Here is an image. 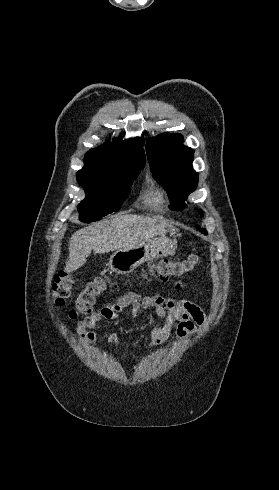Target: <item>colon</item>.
Instances as JSON below:
<instances>
[{
  "mask_svg": "<svg viewBox=\"0 0 279 490\" xmlns=\"http://www.w3.org/2000/svg\"><path fill=\"white\" fill-rule=\"evenodd\" d=\"M198 262L199 256L196 253H191L183 260H157L150 263L149 268L155 273V276H158L162 281H167L169 278L181 277L191 272L197 266ZM110 283L111 279L106 274L88 281L76 296L74 305L67 313L68 318L74 320L82 315L91 313L95 298L102 294ZM73 285L74 279L68 274H59L54 279L51 299L56 303L62 302L69 297Z\"/></svg>",
  "mask_w": 279,
  "mask_h": 490,
  "instance_id": "obj_1",
  "label": "colon"
}]
</instances>
